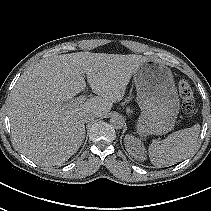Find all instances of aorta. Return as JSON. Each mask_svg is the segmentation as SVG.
<instances>
[{
  "label": "aorta",
  "instance_id": "1",
  "mask_svg": "<svg viewBox=\"0 0 211 211\" xmlns=\"http://www.w3.org/2000/svg\"><path fill=\"white\" fill-rule=\"evenodd\" d=\"M110 124L116 128V129H120L123 127L124 125V120L122 118V116L120 115H114L113 117H111L110 119Z\"/></svg>",
  "mask_w": 211,
  "mask_h": 211
}]
</instances>
